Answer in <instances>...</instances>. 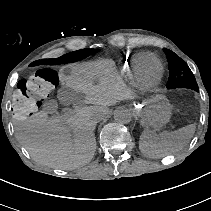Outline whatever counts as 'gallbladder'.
Returning a JSON list of instances; mask_svg holds the SVG:
<instances>
[{
	"mask_svg": "<svg viewBox=\"0 0 211 211\" xmlns=\"http://www.w3.org/2000/svg\"><path fill=\"white\" fill-rule=\"evenodd\" d=\"M57 98L60 104L68 105L73 104L80 106L84 102V95L80 91H75L71 87L63 86L57 92Z\"/></svg>",
	"mask_w": 211,
	"mask_h": 211,
	"instance_id": "1",
	"label": "gallbladder"
}]
</instances>
